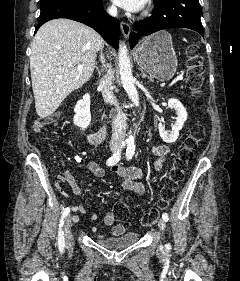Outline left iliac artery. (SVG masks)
I'll return each mask as SVG.
<instances>
[{
  "label": "left iliac artery",
  "instance_id": "1",
  "mask_svg": "<svg viewBox=\"0 0 240 281\" xmlns=\"http://www.w3.org/2000/svg\"><path fill=\"white\" fill-rule=\"evenodd\" d=\"M135 153V145L134 143H129L128 146H127V149H126V159L127 160H131L133 155ZM162 218L164 221H168L169 220V217H168V214L167 213H163L162 214ZM167 248L169 249L170 246L167 245Z\"/></svg>",
  "mask_w": 240,
  "mask_h": 281
}]
</instances>
